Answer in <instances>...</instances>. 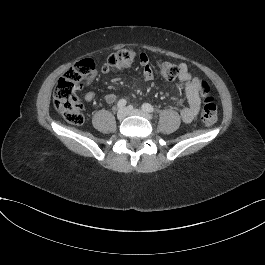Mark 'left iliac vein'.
Listing matches in <instances>:
<instances>
[{
    "mask_svg": "<svg viewBox=\"0 0 265 265\" xmlns=\"http://www.w3.org/2000/svg\"><path fill=\"white\" fill-rule=\"evenodd\" d=\"M127 114L128 115H137V116H142L148 120H151L153 118V116L143 110L140 109H133L131 107L127 108Z\"/></svg>",
    "mask_w": 265,
    "mask_h": 265,
    "instance_id": "left-iliac-vein-1",
    "label": "left iliac vein"
}]
</instances>
